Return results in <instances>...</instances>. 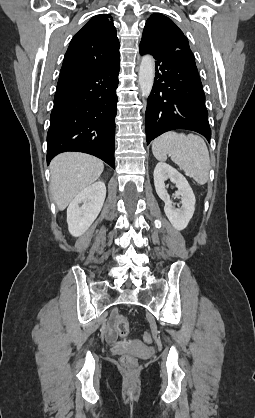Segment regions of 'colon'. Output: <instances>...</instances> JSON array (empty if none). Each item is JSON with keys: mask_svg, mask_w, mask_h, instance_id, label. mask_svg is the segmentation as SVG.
I'll list each match as a JSON object with an SVG mask.
<instances>
[{"mask_svg": "<svg viewBox=\"0 0 255 418\" xmlns=\"http://www.w3.org/2000/svg\"><path fill=\"white\" fill-rule=\"evenodd\" d=\"M113 325L120 336L124 337L128 334L129 326L124 316L116 314ZM143 337L146 342H151L153 340V335L150 332H145ZM120 361L127 368H134L137 365V359L130 354L123 355L120 358Z\"/></svg>", "mask_w": 255, "mask_h": 418, "instance_id": "obj_1", "label": "colon"}]
</instances>
